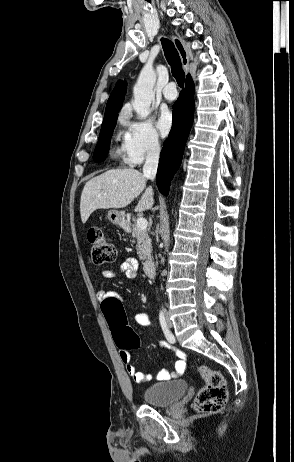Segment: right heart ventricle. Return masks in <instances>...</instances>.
Segmentation results:
<instances>
[{"instance_id":"right-heart-ventricle-1","label":"right heart ventricle","mask_w":294,"mask_h":462,"mask_svg":"<svg viewBox=\"0 0 294 462\" xmlns=\"http://www.w3.org/2000/svg\"><path fill=\"white\" fill-rule=\"evenodd\" d=\"M118 137H119V135H118ZM122 152H123V151H122L121 148L116 147V148L114 149V156L117 157V158H121V157H122Z\"/></svg>"}]
</instances>
